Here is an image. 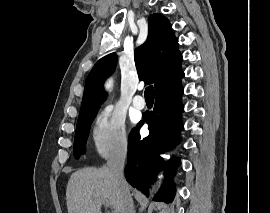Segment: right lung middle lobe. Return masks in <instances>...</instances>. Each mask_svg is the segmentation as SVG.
<instances>
[{
	"label": "right lung middle lobe",
	"mask_w": 270,
	"mask_h": 213,
	"mask_svg": "<svg viewBox=\"0 0 270 213\" xmlns=\"http://www.w3.org/2000/svg\"><path fill=\"white\" fill-rule=\"evenodd\" d=\"M96 113L81 118L77 122L75 139H74V151L75 157L78 159L80 154L84 151L89 126L91 125Z\"/></svg>",
	"instance_id": "right-lung-middle-lobe-1"
}]
</instances>
